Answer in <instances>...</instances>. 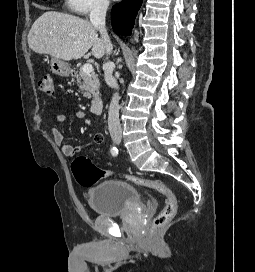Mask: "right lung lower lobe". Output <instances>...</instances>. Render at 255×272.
I'll list each match as a JSON object with an SVG mask.
<instances>
[{
	"instance_id": "98d812e1",
	"label": "right lung lower lobe",
	"mask_w": 255,
	"mask_h": 272,
	"mask_svg": "<svg viewBox=\"0 0 255 272\" xmlns=\"http://www.w3.org/2000/svg\"><path fill=\"white\" fill-rule=\"evenodd\" d=\"M143 0H124L113 6L111 12L112 28L120 35H131L135 18Z\"/></svg>"
}]
</instances>
